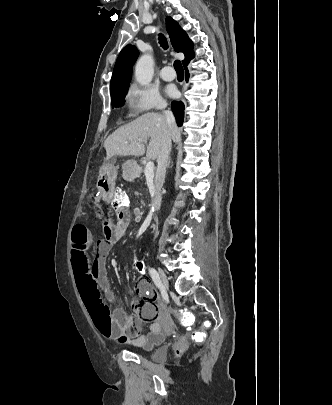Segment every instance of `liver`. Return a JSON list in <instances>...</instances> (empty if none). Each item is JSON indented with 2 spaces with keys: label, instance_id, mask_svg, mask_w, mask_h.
Masks as SVG:
<instances>
[{
  "label": "liver",
  "instance_id": "1",
  "mask_svg": "<svg viewBox=\"0 0 332 405\" xmlns=\"http://www.w3.org/2000/svg\"><path fill=\"white\" fill-rule=\"evenodd\" d=\"M167 131L165 117L150 112L142 115L135 121L118 128L104 142L106 160L113 156H142L152 160L158 158L162 140ZM174 142L181 140L179 129L175 126L171 132ZM149 140L147 150L145 142Z\"/></svg>",
  "mask_w": 332,
  "mask_h": 405
}]
</instances>
